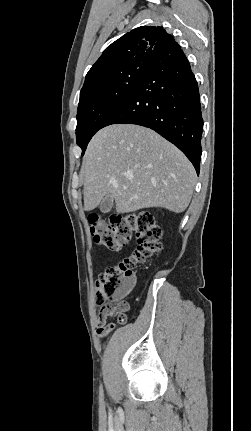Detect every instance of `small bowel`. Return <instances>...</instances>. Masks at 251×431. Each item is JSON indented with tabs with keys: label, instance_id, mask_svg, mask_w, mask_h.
<instances>
[{
	"label": "small bowel",
	"instance_id": "c3829d8e",
	"mask_svg": "<svg viewBox=\"0 0 251 431\" xmlns=\"http://www.w3.org/2000/svg\"><path fill=\"white\" fill-rule=\"evenodd\" d=\"M110 316L103 308L99 311L98 318L96 321L97 334L102 337L111 331V324L107 325L106 319Z\"/></svg>",
	"mask_w": 251,
	"mask_h": 431
}]
</instances>
